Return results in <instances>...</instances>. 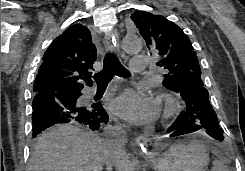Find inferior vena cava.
Returning <instances> with one entry per match:
<instances>
[{
	"label": "inferior vena cava",
	"mask_w": 245,
	"mask_h": 171,
	"mask_svg": "<svg viewBox=\"0 0 245 171\" xmlns=\"http://www.w3.org/2000/svg\"><path fill=\"white\" fill-rule=\"evenodd\" d=\"M105 134L109 138L108 147L112 150L113 158L124 159L126 152L124 150V145L127 142V133L122 126L111 127L107 126L105 128ZM112 164L107 163L108 171H111Z\"/></svg>",
	"instance_id": "obj_1"
}]
</instances>
